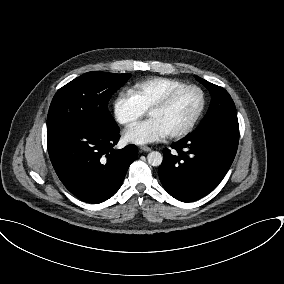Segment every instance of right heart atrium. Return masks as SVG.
<instances>
[{"instance_id":"obj_1","label":"right heart atrium","mask_w":284,"mask_h":284,"mask_svg":"<svg viewBox=\"0 0 284 284\" xmlns=\"http://www.w3.org/2000/svg\"><path fill=\"white\" fill-rule=\"evenodd\" d=\"M147 112L131 90L121 91L113 103L115 120L125 126L136 123Z\"/></svg>"}]
</instances>
